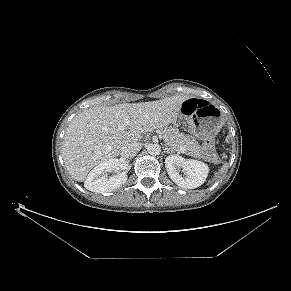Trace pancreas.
I'll return each mask as SVG.
<instances>
[{
	"instance_id": "obj_1",
	"label": "pancreas",
	"mask_w": 291,
	"mask_h": 291,
	"mask_svg": "<svg viewBox=\"0 0 291 291\" xmlns=\"http://www.w3.org/2000/svg\"><path fill=\"white\" fill-rule=\"evenodd\" d=\"M158 134L163 138L164 142L175 151H179L180 147H184L186 154L194 158H204L201 146L194 137L179 132L177 128L162 127L157 129Z\"/></svg>"
}]
</instances>
